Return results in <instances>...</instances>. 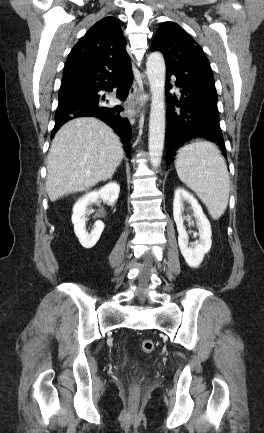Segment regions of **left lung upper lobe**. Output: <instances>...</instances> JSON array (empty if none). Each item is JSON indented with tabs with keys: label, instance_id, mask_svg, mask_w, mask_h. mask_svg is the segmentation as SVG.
Listing matches in <instances>:
<instances>
[{
	"label": "left lung upper lobe",
	"instance_id": "1",
	"mask_svg": "<svg viewBox=\"0 0 264 433\" xmlns=\"http://www.w3.org/2000/svg\"><path fill=\"white\" fill-rule=\"evenodd\" d=\"M152 50L163 53L166 70L186 80L215 84L209 61L202 48L178 24L162 23L154 37Z\"/></svg>",
	"mask_w": 264,
	"mask_h": 433
}]
</instances>
